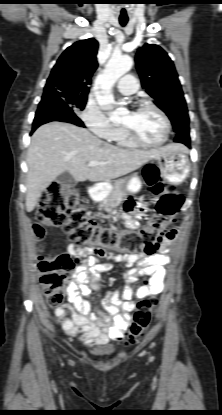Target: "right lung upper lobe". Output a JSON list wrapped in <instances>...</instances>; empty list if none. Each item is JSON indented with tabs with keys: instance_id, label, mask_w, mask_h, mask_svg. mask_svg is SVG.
<instances>
[{
	"instance_id": "right-lung-upper-lobe-1",
	"label": "right lung upper lobe",
	"mask_w": 222,
	"mask_h": 415,
	"mask_svg": "<svg viewBox=\"0 0 222 415\" xmlns=\"http://www.w3.org/2000/svg\"><path fill=\"white\" fill-rule=\"evenodd\" d=\"M97 51L98 42L93 38L69 46L53 67L43 97L59 96L58 92L88 95L92 75L98 66Z\"/></svg>"
}]
</instances>
